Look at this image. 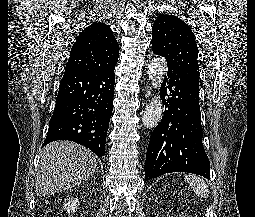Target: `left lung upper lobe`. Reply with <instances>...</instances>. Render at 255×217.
<instances>
[{"label": "left lung upper lobe", "instance_id": "5c2ea615", "mask_svg": "<svg viewBox=\"0 0 255 217\" xmlns=\"http://www.w3.org/2000/svg\"><path fill=\"white\" fill-rule=\"evenodd\" d=\"M153 53L163 56L168 68L199 81L198 47L189 26L180 18L161 14L152 27Z\"/></svg>", "mask_w": 255, "mask_h": 217}]
</instances>
